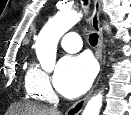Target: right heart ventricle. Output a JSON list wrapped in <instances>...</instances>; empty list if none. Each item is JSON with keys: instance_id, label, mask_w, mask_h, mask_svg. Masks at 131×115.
<instances>
[{"instance_id": "1", "label": "right heart ventricle", "mask_w": 131, "mask_h": 115, "mask_svg": "<svg viewBox=\"0 0 131 115\" xmlns=\"http://www.w3.org/2000/svg\"><path fill=\"white\" fill-rule=\"evenodd\" d=\"M32 70H33L32 67H29L27 69L26 76H25V89H26V92H27V95L29 98L38 100V99H40V96L36 92H34L33 90L30 89L29 83H28V77H29Z\"/></svg>"}]
</instances>
